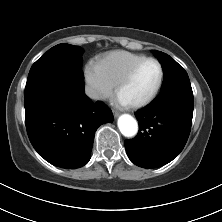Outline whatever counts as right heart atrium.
Wrapping results in <instances>:
<instances>
[{"label": "right heart atrium", "mask_w": 222, "mask_h": 222, "mask_svg": "<svg viewBox=\"0 0 222 222\" xmlns=\"http://www.w3.org/2000/svg\"><path fill=\"white\" fill-rule=\"evenodd\" d=\"M85 78L89 87V95L92 99L102 101L113 94L114 85L102 75L98 64L91 61L87 63Z\"/></svg>", "instance_id": "1"}]
</instances>
